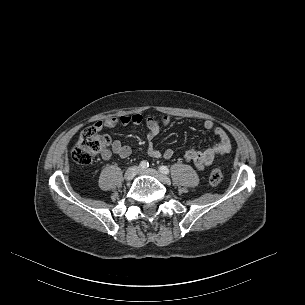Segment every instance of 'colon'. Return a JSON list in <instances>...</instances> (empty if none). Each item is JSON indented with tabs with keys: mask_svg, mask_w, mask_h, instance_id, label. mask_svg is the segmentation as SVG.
<instances>
[{
	"mask_svg": "<svg viewBox=\"0 0 305 305\" xmlns=\"http://www.w3.org/2000/svg\"><path fill=\"white\" fill-rule=\"evenodd\" d=\"M108 147L109 138L95 126H89L80 133L72 151V158L79 165H88L97 154L107 151ZM209 181L213 185L219 184L222 181L221 170L218 168L212 169Z\"/></svg>",
	"mask_w": 305,
	"mask_h": 305,
	"instance_id": "1",
	"label": "colon"
}]
</instances>
